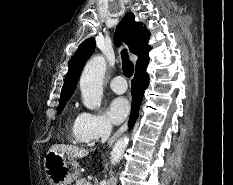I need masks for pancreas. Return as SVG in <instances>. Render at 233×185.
<instances>
[{"instance_id": "obj_1", "label": "pancreas", "mask_w": 233, "mask_h": 185, "mask_svg": "<svg viewBox=\"0 0 233 185\" xmlns=\"http://www.w3.org/2000/svg\"><path fill=\"white\" fill-rule=\"evenodd\" d=\"M88 181L82 178H79L78 180H76L75 185H87Z\"/></svg>"}]
</instances>
